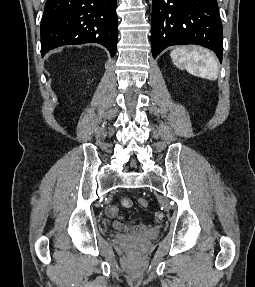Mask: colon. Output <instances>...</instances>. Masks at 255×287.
<instances>
[{
    "mask_svg": "<svg viewBox=\"0 0 255 287\" xmlns=\"http://www.w3.org/2000/svg\"><path fill=\"white\" fill-rule=\"evenodd\" d=\"M138 202H139V204H140L142 207H147V206H148V202H147L146 199L141 198V199L138 200Z\"/></svg>",
    "mask_w": 255,
    "mask_h": 287,
    "instance_id": "colon-1",
    "label": "colon"
}]
</instances>
